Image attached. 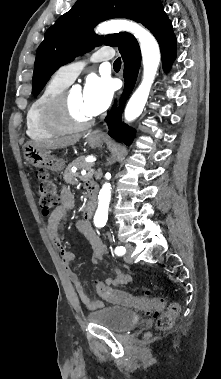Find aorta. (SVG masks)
I'll use <instances>...</instances> for the list:
<instances>
[{
	"instance_id": "762f6f07",
	"label": "aorta",
	"mask_w": 221,
	"mask_h": 379,
	"mask_svg": "<svg viewBox=\"0 0 221 379\" xmlns=\"http://www.w3.org/2000/svg\"><path fill=\"white\" fill-rule=\"evenodd\" d=\"M97 34H110L120 31L132 33L140 43L143 60V79L139 87L129 99L125 108V120L136 119L143 111L151 86L160 63V49L154 36L139 24L128 20H111L96 28ZM111 199V185L104 183L98 195V208L94 216L96 226H103L108 219V209Z\"/></svg>"
}]
</instances>
